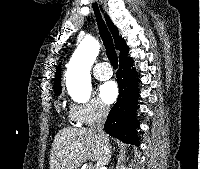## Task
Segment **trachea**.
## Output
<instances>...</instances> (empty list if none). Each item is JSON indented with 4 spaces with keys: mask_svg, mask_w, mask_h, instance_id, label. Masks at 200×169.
<instances>
[{
    "mask_svg": "<svg viewBox=\"0 0 200 169\" xmlns=\"http://www.w3.org/2000/svg\"><path fill=\"white\" fill-rule=\"evenodd\" d=\"M93 10H94V14L96 17L100 36L102 38V41H103L105 49H106L107 57H108L111 65L113 66V68L117 69L118 57H117V53L114 48L113 39H112V36H111L110 32L108 31L104 21L102 20L97 3L93 4Z\"/></svg>",
    "mask_w": 200,
    "mask_h": 169,
    "instance_id": "trachea-1",
    "label": "trachea"
}]
</instances>
